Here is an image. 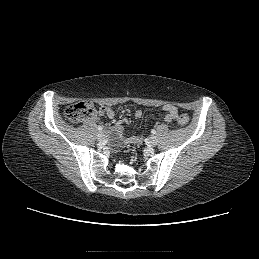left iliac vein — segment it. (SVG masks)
Wrapping results in <instances>:
<instances>
[{
	"label": "left iliac vein",
	"mask_w": 259,
	"mask_h": 259,
	"mask_svg": "<svg viewBox=\"0 0 259 259\" xmlns=\"http://www.w3.org/2000/svg\"><path fill=\"white\" fill-rule=\"evenodd\" d=\"M157 143H158V139H157V137L156 136H150L149 137V139H148V144L150 145V146H156L157 145Z\"/></svg>",
	"instance_id": "obj_1"
}]
</instances>
